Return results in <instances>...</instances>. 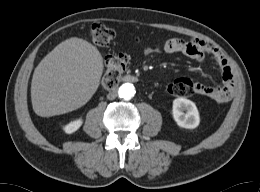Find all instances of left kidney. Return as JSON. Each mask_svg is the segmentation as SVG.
Instances as JSON below:
<instances>
[{"label": "left kidney", "mask_w": 260, "mask_h": 192, "mask_svg": "<svg viewBox=\"0 0 260 192\" xmlns=\"http://www.w3.org/2000/svg\"><path fill=\"white\" fill-rule=\"evenodd\" d=\"M172 116L177 125L182 128L195 129L200 123L195 103L183 97L173 100Z\"/></svg>", "instance_id": "5707ae66"}]
</instances>
